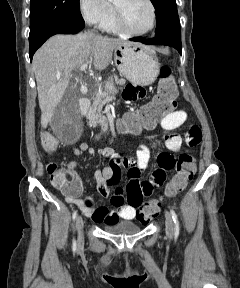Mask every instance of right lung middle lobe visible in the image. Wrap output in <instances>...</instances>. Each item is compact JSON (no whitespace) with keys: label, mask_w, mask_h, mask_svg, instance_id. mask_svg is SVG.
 <instances>
[{"label":"right lung middle lobe","mask_w":240,"mask_h":288,"mask_svg":"<svg viewBox=\"0 0 240 288\" xmlns=\"http://www.w3.org/2000/svg\"><path fill=\"white\" fill-rule=\"evenodd\" d=\"M57 21L84 23L79 0H31L29 39L45 25Z\"/></svg>","instance_id":"obj_1"}]
</instances>
